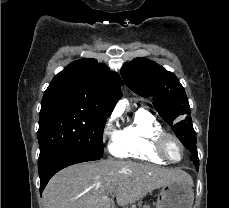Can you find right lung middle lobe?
<instances>
[{
	"label": "right lung middle lobe",
	"mask_w": 229,
	"mask_h": 208,
	"mask_svg": "<svg viewBox=\"0 0 229 208\" xmlns=\"http://www.w3.org/2000/svg\"><path fill=\"white\" fill-rule=\"evenodd\" d=\"M106 118L95 116L69 103L52 102L41 105L38 141V163L55 151L79 149L102 157V133Z\"/></svg>",
	"instance_id": "dd1d6c3e"
}]
</instances>
